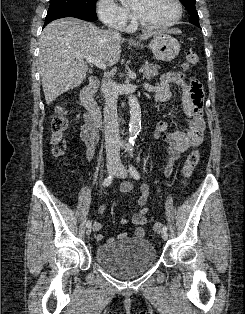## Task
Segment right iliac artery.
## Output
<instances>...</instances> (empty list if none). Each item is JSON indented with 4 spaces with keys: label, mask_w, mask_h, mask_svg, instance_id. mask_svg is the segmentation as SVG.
<instances>
[{
    "label": "right iliac artery",
    "mask_w": 245,
    "mask_h": 314,
    "mask_svg": "<svg viewBox=\"0 0 245 314\" xmlns=\"http://www.w3.org/2000/svg\"><path fill=\"white\" fill-rule=\"evenodd\" d=\"M112 181H113V176L110 175V176H108L107 178H105V180H104V182H103V186H104V187L109 186V185L112 183ZM86 227H91V221H90V220H88V221L86 222Z\"/></svg>",
    "instance_id": "right-iliac-artery-1"
}]
</instances>
